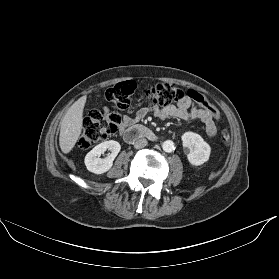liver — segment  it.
<instances>
[{
  "label": "liver",
  "instance_id": "liver-1",
  "mask_svg": "<svg viewBox=\"0 0 279 279\" xmlns=\"http://www.w3.org/2000/svg\"><path fill=\"white\" fill-rule=\"evenodd\" d=\"M86 99L87 97L84 95L74 102L60 122L59 145L64 154H68L79 139L83 127V110Z\"/></svg>",
  "mask_w": 279,
  "mask_h": 279
}]
</instances>
